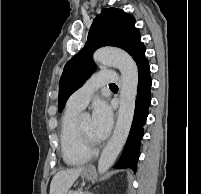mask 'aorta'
Segmentation results:
<instances>
[{"label": "aorta", "instance_id": "obj_1", "mask_svg": "<svg viewBox=\"0 0 201 194\" xmlns=\"http://www.w3.org/2000/svg\"><path fill=\"white\" fill-rule=\"evenodd\" d=\"M93 60L117 67L121 73L120 107L116 126L98 162V171L102 174L114 163L129 135L135 110L138 68L133 58L120 49L100 48L94 53Z\"/></svg>", "mask_w": 201, "mask_h": 194}]
</instances>
